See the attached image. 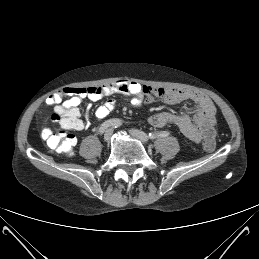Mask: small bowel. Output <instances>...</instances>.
<instances>
[{
    "label": "small bowel",
    "mask_w": 259,
    "mask_h": 259,
    "mask_svg": "<svg viewBox=\"0 0 259 259\" xmlns=\"http://www.w3.org/2000/svg\"><path fill=\"white\" fill-rule=\"evenodd\" d=\"M113 94H122L130 100L133 107L150 104L155 100H161L168 104H177L183 101H192L197 104L192 117L185 114L172 112H160L149 118V123L156 128L166 125L177 127L180 132L190 141L199 143L205 138L206 127L208 124L215 123L216 108L212 100L206 95L171 87L152 88L142 85L136 81L117 80L101 86L63 88L47 99L46 103L55 106L67 121L66 128L74 131H82L85 123L81 119L80 105L84 99L92 102ZM66 98L65 100H63ZM117 101L113 98L107 99L95 110L97 119H104L112 110L115 109ZM89 114V108L85 111ZM42 138L46 141V132H42Z\"/></svg>",
    "instance_id": "small-bowel-1"
}]
</instances>
